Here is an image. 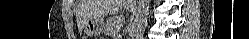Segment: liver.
<instances>
[{"instance_id":"6515ba94","label":"liver","mask_w":249,"mask_h":39,"mask_svg":"<svg viewBox=\"0 0 249 39\" xmlns=\"http://www.w3.org/2000/svg\"><path fill=\"white\" fill-rule=\"evenodd\" d=\"M123 7V0H82L79 5L80 23L83 26L86 19L96 16L118 14Z\"/></svg>"}]
</instances>
